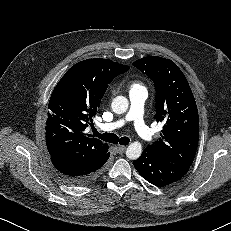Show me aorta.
Wrapping results in <instances>:
<instances>
[{
    "label": "aorta",
    "instance_id": "1",
    "mask_svg": "<svg viewBox=\"0 0 231 231\" xmlns=\"http://www.w3.org/2000/svg\"><path fill=\"white\" fill-rule=\"evenodd\" d=\"M129 102L124 96H117L113 99L111 107L114 113L123 114L128 110ZM142 153V145L140 142L131 143L127 150L126 156L131 160L138 159Z\"/></svg>",
    "mask_w": 231,
    "mask_h": 231
}]
</instances>
